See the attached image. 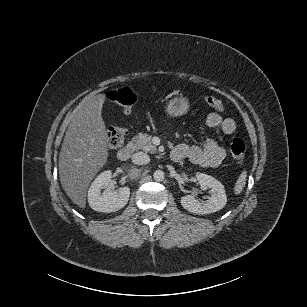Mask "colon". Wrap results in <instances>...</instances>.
I'll return each instance as SVG.
<instances>
[{
    "label": "colon",
    "mask_w": 307,
    "mask_h": 307,
    "mask_svg": "<svg viewBox=\"0 0 307 307\" xmlns=\"http://www.w3.org/2000/svg\"><path fill=\"white\" fill-rule=\"evenodd\" d=\"M106 97L109 101L122 106L126 112H130L137 100L135 92L129 87L113 89L107 93ZM204 101L211 108L221 112L224 111V104L220 99L214 96H206ZM126 136L127 129L125 127H110L107 133L108 146L110 148L120 147L124 143ZM245 150L246 146L240 138H234L232 140L230 151L237 166H242L245 157Z\"/></svg>",
    "instance_id": "5ec220e1"
}]
</instances>
